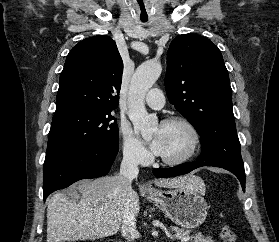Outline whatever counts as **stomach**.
Returning a JSON list of instances; mask_svg holds the SVG:
<instances>
[{
  "mask_svg": "<svg viewBox=\"0 0 279 242\" xmlns=\"http://www.w3.org/2000/svg\"><path fill=\"white\" fill-rule=\"evenodd\" d=\"M147 198L175 224L194 229L206 219L208 205L202 194L191 188L155 190Z\"/></svg>",
  "mask_w": 279,
  "mask_h": 242,
  "instance_id": "obj_1",
  "label": "stomach"
}]
</instances>
